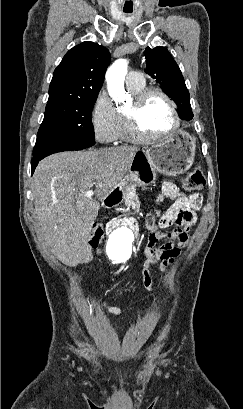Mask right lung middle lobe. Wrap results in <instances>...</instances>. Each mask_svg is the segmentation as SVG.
Listing matches in <instances>:
<instances>
[{
    "label": "right lung middle lobe",
    "mask_w": 243,
    "mask_h": 409,
    "mask_svg": "<svg viewBox=\"0 0 243 409\" xmlns=\"http://www.w3.org/2000/svg\"><path fill=\"white\" fill-rule=\"evenodd\" d=\"M96 99L48 102L38 137L94 138L91 114Z\"/></svg>",
    "instance_id": "1"
}]
</instances>
